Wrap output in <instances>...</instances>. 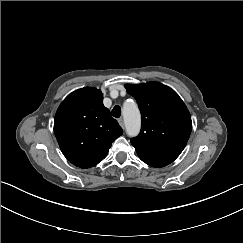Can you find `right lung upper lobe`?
Instances as JSON below:
<instances>
[{"mask_svg":"<svg viewBox=\"0 0 243 243\" xmlns=\"http://www.w3.org/2000/svg\"><path fill=\"white\" fill-rule=\"evenodd\" d=\"M54 133L64 156L80 168L102 161L123 130L103 105L99 89L84 87L69 94L54 119Z\"/></svg>","mask_w":243,"mask_h":243,"instance_id":"obj_1","label":"right lung upper lobe"}]
</instances>
